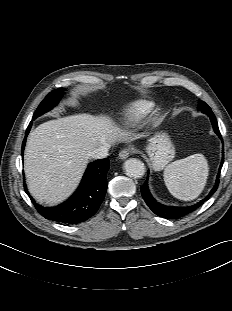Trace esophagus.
<instances>
[{
    "instance_id": "esophagus-1",
    "label": "esophagus",
    "mask_w": 232,
    "mask_h": 311,
    "mask_svg": "<svg viewBox=\"0 0 232 311\" xmlns=\"http://www.w3.org/2000/svg\"><path fill=\"white\" fill-rule=\"evenodd\" d=\"M132 152H133V151H132V149H130V148L122 149V150L119 152V158L124 160V159L128 158Z\"/></svg>"
}]
</instances>
